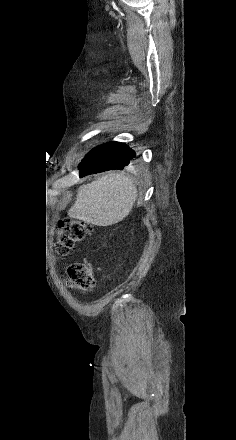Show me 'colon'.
I'll list each match as a JSON object with an SVG mask.
<instances>
[{"label":"colon","mask_w":236,"mask_h":440,"mask_svg":"<svg viewBox=\"0 0 236 440\" xmlns=\"http://www.w3.org/2000/svg\"><path fill=\"white\" fill-rule=\"evenodd\" d=\"M92 232V227L79 220L66 219L60 222L56 250L60 256L67 255L76 243L83 241ZM68 284L80 291H89L95 285L92 268L87 263H71L67 269Z\"/></svg>","instance_id":"5ec220e1"}]
</instances>
